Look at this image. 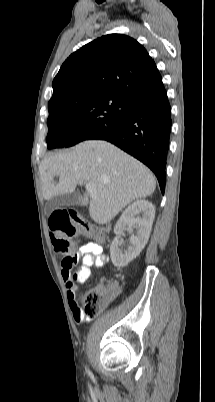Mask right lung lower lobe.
<instances>
[{"label":"right lung lower lobe","instance_id":"right-lung-lower-lobe-1","mask_svg":"<svg viewBox=\"0 0 215 402\" xmlns=\"http://www.w3.org/2000/svg\"><path fill=\"white\" fill-rule=\"evenodd\" d=\"M171 125V107L163 88L132 99L122 119L88 139L109 141L143 162L154 172L164 193Z\"/></svg>","mask_w":215,"mask_h":402}]
</instances>
